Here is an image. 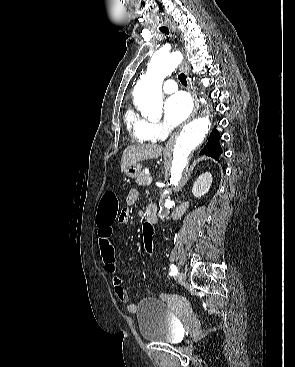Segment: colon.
I'll list each match as a JSON object with an SVG mask.
<instances>
[{"mask_svg":"<svg viewBox=\"0 0 295 367\" xmlns=\"http://www.w3.org/2000/svg\"><path fill=\"white\" fill-rule=\"evenodd\" d=\"M120 212L119 202L117 196L113 192H106L103 194L100 206L98 220L104 222H110L117 220L118 213ZM141 240L147 253L151 254L153 246L155 245V229L153 223L149 219H146L141 224Z\"/></svg>","mask_w":295,"mask_h":367,"instance_id":"obj_1","label":"colon"}]
</instances>
